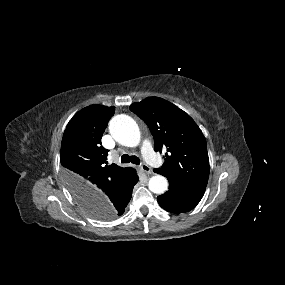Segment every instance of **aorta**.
Here are the masks:
<instances>
[{"label":"aorta","instance_id":"762f6f07","mask_svg":"<svg viewBox=\"0 0 285 285\" xmlns=\"http://www.w3.org/2000/svg\"><path fill=\"white\" fill-rule=\"evenodd\" d=\"M109 131L113 138L124 146L136 147L140 143L139 127L128 115L120 114L113 117L109 124ZM148 187L155 194H163L168 188V181L162 175H155L150 178Z\"/></svg>","mask_w":285,"mask_h":285}]
</instances>
